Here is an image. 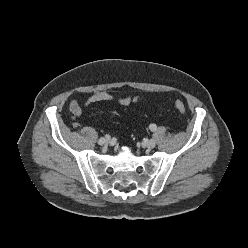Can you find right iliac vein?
I'll return each instance as SVG.
<instances>
[{
  "label": "right iliac vein",
  "mask_w": 248,
  "mask_h": 248,
  "mask_svg": "<svg viewBox=\"0 0 248 248\" xmlns=\"http://www.w3.org/2000/svg\"><path fill=\"white\" fill-rule=\"evenodd\" d=\"M110 143V139L109 138H105L103 140V145H108Z\"/></svg>",
  "instance_id": "63e3f726"
}]
</instances>
